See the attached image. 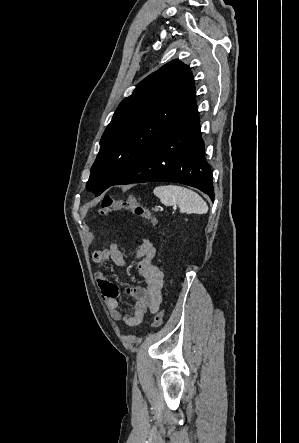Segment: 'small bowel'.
Masks as SVG:
<instances>
[{
  "instance_id": "1",
  "label": "small bowel",
  "mask_w": 299,
  "mask_h": 443,
  "mask_svg": "<svg viewBox=\"0 0 299 443\" xmlns=\"http://www.w3.org/2000/svg\"><path fill=\"white\" fill-rule=\"evenodd\" d=\"M156 255L154 245L146 240L136 249L132 262H137L139 274L145 279V287L121 288L118 284L110 281L103 272L97 271L95 279L104 298L111 317L115 321H121L127 326L139 325L144 315L149 311L155 313L161 304L162 289L164 284L163 272L153 263ZM93 261L103 264L112 261L116 266L126 268L130 265L126 261L123 253L114 241H110L104 248L93 253ZM129 295L133 298L132 308L129 312H124L118 298Z\"/></svg>"
}]
</instances>
